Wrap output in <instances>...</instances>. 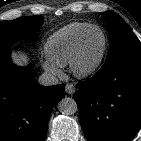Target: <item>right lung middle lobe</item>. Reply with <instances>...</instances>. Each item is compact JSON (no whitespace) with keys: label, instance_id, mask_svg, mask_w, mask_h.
I'll list each match as a JSON object with an SVG mask.
<instances>
[{"label":"right lung middle lobe","instance_id":"1","mask_svg":"<svg viewBox=\"0 0 141 141\" xmlns=\"http://www.w3.org/2000/svg\"><path fill=\"white\" fill-rule=\"evenodd\" d=\"M43 20L42 16L36 15L0 22V51L10 48L20 39L31 38L40 29Z\"/></svg>","mask_w":141,"mask_h":141}]
</instances>
